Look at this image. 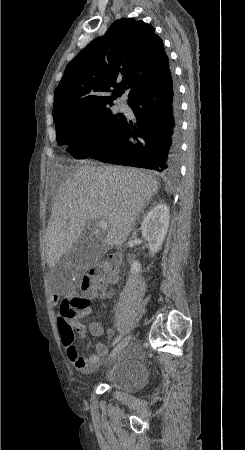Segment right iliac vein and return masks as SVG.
I'll return each instance as SVG.
<instances>
[{"label": "right iliac vein", "mask_w": 245, "mask_h": 450, "mask_svg": "<svg viewBox=\"0 0 245 450\" xmlns=\"http://www.w3.org/2000/svg\"><path fill=\"white\" fill-rule=\"evenodd\" d=\"M132 336L129 335L126 338H124L112 351V353L110 354L109 358L115 357L121 350H123L127 344L129 343V341L131 340Z\"/></svg>", "instance_id": "1"}]
</instances>
